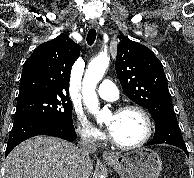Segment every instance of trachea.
Listing matches in <instances>:
<instances>
[{"mask_svg": "<svg viewBox=\"0 0 194 178\" xmlns=\"http://www.w3.org/2000/svg\"><path fill=\"white\" fill-rule=\"evenodd\" d=\"M96 39V30L95 29H90L88 34H87V43L88 45H92Z\"/></svg>", "mask_w": 194, "mask_h": 178, "instance_id": "trachea-1", "label": "trachea"}]
</instances>
